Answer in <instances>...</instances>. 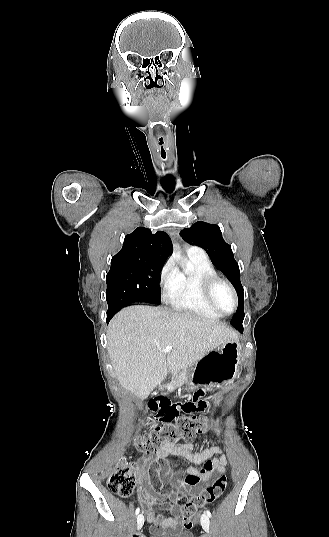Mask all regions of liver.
Listing matches in <instances>:
<instances>
[{"instance_id": "liver-1", "label": "liver", "mask_w": 329, "mask_h": 537, "mask_svg": "<svg viewBox=\"0 0 329 537\" xmlns=\"http://www.w3.org/2000/svg\"><path fill=\"white\" fill-rule=\"evenodd\" d=\"M238 335L213 319L162 307L124 308L109 323L108 354L120 385L144 399L175 374ZM172 346L167 356L164 350Z\"/></svg>"}]
</instances>
